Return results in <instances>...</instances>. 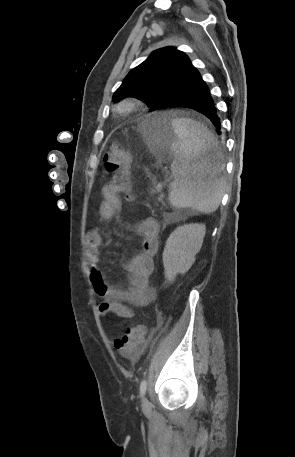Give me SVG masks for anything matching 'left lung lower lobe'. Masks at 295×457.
<instances>
[{
    "label": "left lung lower lobe",
    "instance_id": "1",
    "mask_svg": "<svg viewBox=\"0 0 295 457\" xmlns=\"http://www.w3.org/2000/svg\"><path fill=\"white\" fill-rule=\"evenodd\" d=\"M187 77L190 85L164 100L158 109L172 106L194 109L205 115L214 124L220 135V118L217 115V109L214 106L208 86L196 68H193ZM208 162L214 163V157Z\"/></svg>",
    "mask_w": 295,
    "mask_h": 457
}]
</instances>
